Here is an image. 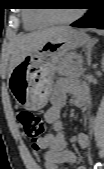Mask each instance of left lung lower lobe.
<instances>
[{"label":"left lung lower lobe","mask_w":104,"mask_h":169,"mask_svg":"<svg viewBox=\"0 0 104 169\" xmlns=\"http://www.w3.org/2000/svg\"><path fill=\"white\" fill-rule=\"evenodd\" d=\"M73 27L81 28H98L104 29V9L99 7H93L90 9L88 14H86L80 20L71 24Z\"/></svg>","instance_id":"0a47b994"}]
</instances>
